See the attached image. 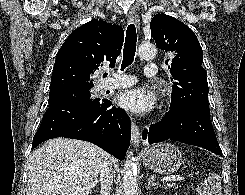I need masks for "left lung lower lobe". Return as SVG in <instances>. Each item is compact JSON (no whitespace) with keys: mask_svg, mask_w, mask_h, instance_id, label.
<instances>
[{"mask_svg":"<svg viewBox=\"0 0 245 195\" xmlns=\"http://www.w3.org/2000/svg\"><path fill=\"white\" fill-rule=\"evenodd\" d=\"M142 138L149 144L166 140L179 141L222 156L210 121V110L197 106L170 108L161 122L144 131Z\"/></svg>","mask_w":245,"mask_h":195,"instance_id":"obj_1","label":"left lung lower lobe"}]
</instances>
